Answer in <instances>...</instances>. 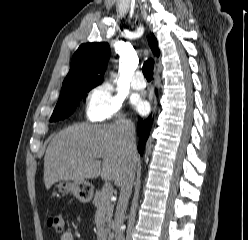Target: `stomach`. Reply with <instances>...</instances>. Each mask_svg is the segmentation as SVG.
Returning <instances> with one entry per match:
<instances>
[{
    "mask_svg": "<svg viewBox=\"0 0 248 240\" xmlns=\"http://www.w3.org/2000/svg\"><path fill=\"white\" fill-rule=\"evenodd\" d=\"M58 192L63 196L73 194L81 202H89L92 199L93 187L87 181H59L56 185Z\"/></svg>",
    "mask_w": 248,
    "mask_h": 240,
    "instance_id": "obj_1",
    "label": "stomach"
}]
</instances>
